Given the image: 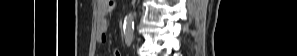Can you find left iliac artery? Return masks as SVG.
I'll list each match as a JSON object with an SVG mask.
<instances>
[{
	"instance_id": "44dca946",
	"label": "left iliac artery",
	"mask_w": 297,
	"mask_h": 56,
	"mask_svg": "<svg viewBox=\"0 0 297 56\" xmlns=\"http://www.w3.org/2000/svg\"><path fill=\"white\" fill-rule=\"evenodd\" d=\"M127 45H130L133 41V35H126L125 37Z\"/></svg>"
}]
</instances>
